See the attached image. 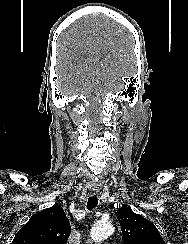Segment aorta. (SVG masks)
I'll return each instance as SVG.
<instances>
[{"label":"aorta","mask_w":188,"mask_h":244,"mask_svg":"<svg viewBox=\"0 0 188 244\" xmlns=\"http://www.w3.org/2000/svg\"><path fill=\"white\" fill-rule=\"evenodd\" d=\"M114 232V227L110 222H98L91 229L90 236L93 240H104L111 236Z\"/></svg>","instance_id":"1"}]
</instances>
